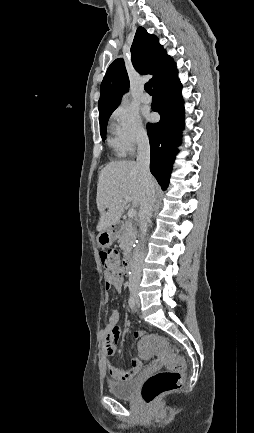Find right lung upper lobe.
<instances>
[{"instance_id": "obj_1", "label": "right lung upper lobe", "mask_w": 254, "mask_h": 433, "mask_svg": "<svg viewBox=\"0 0 254 433\" xmlns=\"http://www.w3.org/2000/svg\"><path fill=\"white\" fill-rule=\"evenodd\" d=\"M131 60L140 74H151L153 87L175 65L159 44L156 36L143 27L136 31L131 47ZM129 89V78L122 58L116 59L107 69L100 86L99 122L104 121L120 104L122 95Z\"/></svg>"}]
</instances>
